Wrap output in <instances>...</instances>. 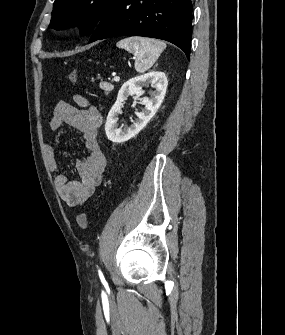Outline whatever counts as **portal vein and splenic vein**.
<instances>
[{"label":"portal vein and splenic vein","instance_id":"1","mask_svg":"<svg viewBox=\"0 0 285 335\" xmlns=\"http://www.w3.org/2000/svg\"><path fill=\"white\" fill-rule=\"evenodd\" d=\"M114 80H115V82H119V80H120L119 76H114Z\"/></svg>","mask_w":285,"mask_h":335}]
</instances>
